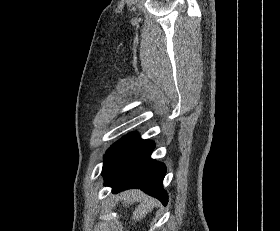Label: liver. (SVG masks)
<instances>
[{
  "label": "liver",
  "instance_id": "obj_1",
  "mask_svg": "<svg viewBox=\"0 0 280 231\" xmlns=\"http://www.w3.org/2000/svg\"><path fill=\"white\" fill-rule=\"evenodd\" d=\"M120 199H126L127 203H130L132 199H140L141 203L136 207L135 211H133L132 219H136V221H139V219H143L149 211H152L153 205L157 203L156 199L154 197H149V195H145V193H142V191H139V189H131V191H123V193H120L119 195ZM126 205V203H124Z\"/></svg>",
  "mask_w": 280,
  "mask_h": 231
}]
</instances>
